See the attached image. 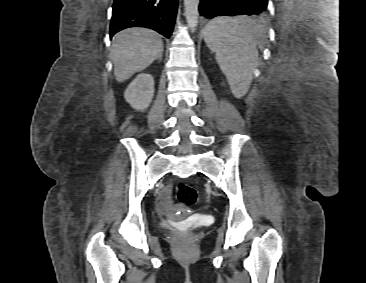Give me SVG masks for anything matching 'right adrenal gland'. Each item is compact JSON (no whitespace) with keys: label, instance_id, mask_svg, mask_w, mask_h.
I'll list each match as a JSON object with an SVG mask.
<instances>
[{"label":"right adrenal gland","instance_id":"right-adrenal-gland-1","mask_svg":"<svg viewBox=\"0 0 366 283\" xmlns=\"http://www.w3.org/2000/svg\"><path fill=\"white\" fill-rule=\"evenodd\" d=\"M158 60L161 61L162 60V53L158 56Z\"/></svg>","mask_w":366,"mask_h":283}]
</instances>
